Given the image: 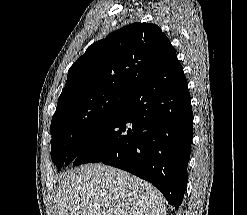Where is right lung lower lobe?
<instances>
[{
    "label": "right lung lower lobe",
    "mask_w": 247,
    "mask_h": 215,
    "mask_svg": "<svg viewBox=\"0 0 247 215\" xmlns=\"http://www.w3.org/2000/svg\"><path fill=\"white\" fill-rule=\"evenodd\" d=\"M192 137L190 93L174 52L120 113L78 141L65 163L120 168L152 183L178 208L188 182Z\"/></svg>",
    "instance_id": "right-lung-lower-lobe-1"
}]
</instances>
